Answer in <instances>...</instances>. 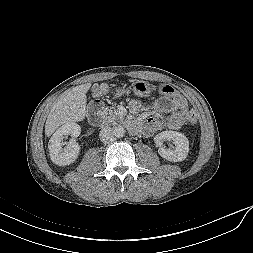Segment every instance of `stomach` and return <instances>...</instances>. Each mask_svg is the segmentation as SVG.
<instances>
[{
	"label": "stomach",
	"mask_w": 253,
	"mask_h": 253,
	"mask_svg": "<svg viewBox=\"0 0 253 253\" xmlns=\"http://www.w3.org/2000/svg\"><path fill=\"white\" fill-rule=\"evenodd\" d=\"M133 92L139 97H148L151 92L154 90V86L144 80H136L133 83ZM126 93V90L118 88L116 91L117 96H121Z\"/></svg>",
	"instance_id": "stomach-1"
}]
</instances>
